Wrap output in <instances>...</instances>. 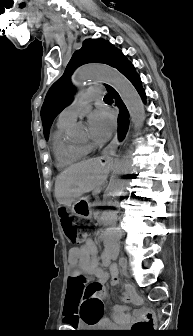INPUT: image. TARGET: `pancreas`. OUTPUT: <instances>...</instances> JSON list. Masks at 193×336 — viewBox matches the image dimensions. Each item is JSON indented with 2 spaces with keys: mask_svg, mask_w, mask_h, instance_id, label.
Returning a JSON list of instances; mask_svg holds the SVG:
<instances>
[{
  "mask_svg": "<svg viewBox=\"0 0 193 336\" xmlns=\"http://www.w3.org/2000/svg\"><path fill=\"white\" fill-rule=\"evenodd\" d=\"M103 209H104L103 200L101 198H98L97 200L94 201L93 204V210L95 211V215L99 216Z\"/></svg>",
  "mask_w": 193,
  "mask_h": 336,
  "instance_id": "1",
  "label": "pancreas"
}]
</instances>
